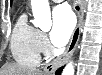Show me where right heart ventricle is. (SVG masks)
<instances>
[{
	"instance_id": "right-heart-ventricle-1",
	"label": "right heart ventricle",
	"mask_w": 102,
	"mask_h": 75,
	"mask_svg": "<svg viewBox=\"0 0 102 75\" xmlns=\"http://www.w3.org/2000/svg\"><path fill=\"white\" fill-rule=\"evenodd\" d=\"M40 34L41 32L37 28L28 23L26 14L20 15L10 41L11 55L17 63L32 67L39 64Z\"/></svg>"
}]
</instances>
